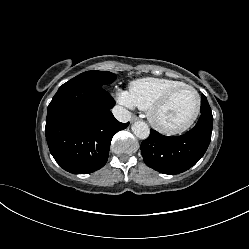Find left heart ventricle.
<instances>
[{
    "instance_id": "b2bd125f",
    "label": "left heart ventricle",
    "mask_w": 249,
    "mask_h": 249,
    "mask_svg": "<svg viewBox=\"0 0 249 249\" xmlns=\"http://www.w3.org/2000/svg\"><path fill=\"white\" fill-rule=\"evenodd\" d=\"M195 106V94L189 89H182L175 93L170 101L157 112L156 119L166 127H178L189 120Z\"/></svg>"
}]
</instances>
